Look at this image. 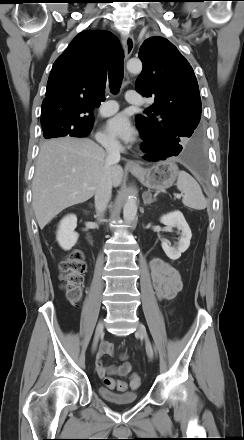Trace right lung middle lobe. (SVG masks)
Instances as JSON below:
<instances>
[{
  "label": "right lung middle lobe",
  "instance_id": "obj_1",
  "mask_svg": "<svg viewBox=\"0 0 244 440\" xmlns=\"http://www.w3.org/2000/svg\"><path fill=\"white\" fill-rule=\"evenodd\" d=\"M41 126L43 136L46 139L63 136L85 137L90 133L93 122L82 126H75L64 121L46 120L41 121Z\"/></svg>",
  "mask_w": 244,
  "mask_h": 440
}]
</instances>
